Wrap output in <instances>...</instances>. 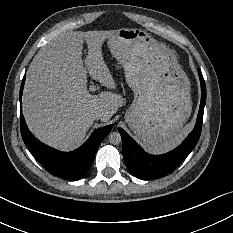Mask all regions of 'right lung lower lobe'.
Returning <instances> with one entry per match:
<instances>
[{
  "instance_id": "1",
  "label": "right lung lower lobe",
  "mask_w": 233,
  "mask_h": 233,
  "mask_svg": "<svg viewBox=\"0 0 233 233\" xmlns=\"http://www.w3.org/2000/svg\"><path fill=\"white\" fill-rule=\"evenodd\" d=\"M25 76L20 88V130L24 143L38 162L50 173L67 180H79L90 169L96 151L112 129V125L95 130L90 138L72 152L55 150L37 140L29 131L22 115V92Z\"/></svg>"
}]
</instances>
